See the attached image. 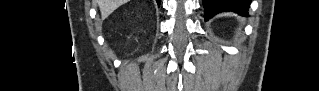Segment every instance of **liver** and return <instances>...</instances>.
Masks as SVG:
<instances>
[{
  "mask_svg": "<svg viewBox=\"0 0 319 91\" xmlns=\"http://www.w3.org/2000/svg\"><path fill=\"white\" fill-rule=\"evenodd\" d=\"M127 2L128 0H97L102 19L107 18L114 10Z\"/></svg>",
  "mask_w": 319,
  "mask_h": 91,
  "instance_id": "liver-1",
  "label": "liver"
}]
</instances>
